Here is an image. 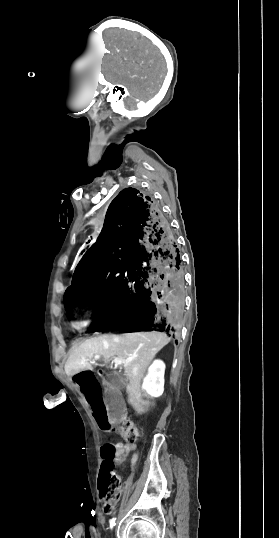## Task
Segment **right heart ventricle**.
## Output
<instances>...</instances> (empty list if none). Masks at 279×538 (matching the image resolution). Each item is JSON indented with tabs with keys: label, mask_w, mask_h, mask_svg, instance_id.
<instances>
[{
	"label": "right heart ventricle",
	"mask_w": 279,
	"mask_h": 538,
	"mask_svg": "<svg viewBox=\"0 0 279 538\" xmlns=\"http://www.w3.org/2000/svg\"><path fill=\"white\" fill-rule=\"evenodd\" d=\"M55 226H56V230L58 232L59 235H64V234H67V231H66V226L63 222V220L58 217L56 223H55ZM69 236H70V239L71 240H75L76 239V236H77V233L76 231L72 230L70 233H69Z\"/></svg>",
	"instance_id": "right-heart-ventricle-1"
}]
</instances>
